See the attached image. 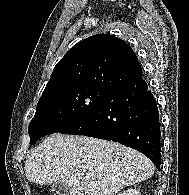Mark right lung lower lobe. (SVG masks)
<instances>
[{
    "mask_svg": "<svg viewBox=\"0 0 189 195\" xmlns=\"http://www.w3.org/2000/svg\"><path fill=\"white\" fill-rule=\"evenodd\" d=\"M60 133L121 143L146 155L160 170L159 112L142 76L112 90L83 118Z\"/></svg>",
    "mask_w": 189,
    "mask_h": 195,
    "instance_id": "obj_1",
    "label": "right lung lower lobe"
}]
</instances>
